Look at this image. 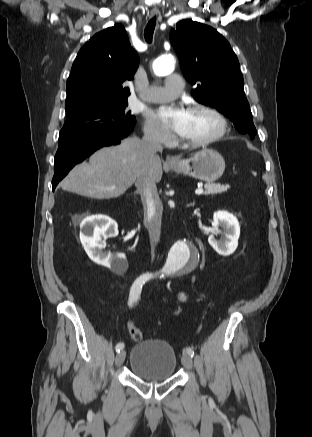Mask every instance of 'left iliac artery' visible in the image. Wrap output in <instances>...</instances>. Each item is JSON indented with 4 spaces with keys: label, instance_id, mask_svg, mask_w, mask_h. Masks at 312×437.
<instances>
[{
    "label": "left iliac artery",
    "instance_id": "obj_1",
    "mask_svg": "<svg viewBox=\"0 0 312 437\" xmlns=\"http://www.w3.org/2000/svg\"><path fill=\"white\" fill-rule=\"evenodd\" d=\"M191 358L194 356V351H193V349L192 348H190V347H187L185 350H184Z\"/></svg>",
    "mask_w": 312,
    "mask_h": 437
}]
</instances>
